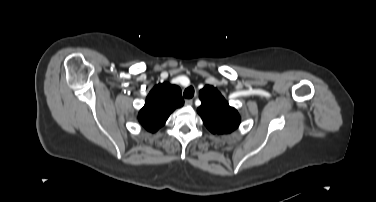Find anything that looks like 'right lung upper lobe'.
I'll use <instances>...</instances> for the list:
<instances>
[{"mask_svg":"<svg viewBox=\"0 0 376 202\" xmlns=\"http://www.w3.org/2000/svg\"><path fill=\"white\" fill-rule=\"evenodd\" d=\"M184 104L181 89L176 85H156L139 111L138 121L149 132H156L167 121L170 114Z\"/></svg>","mask_w":376,"mask_h":202,"instance_id":"1","label":"right lung upper lobe"}]
</instances>
